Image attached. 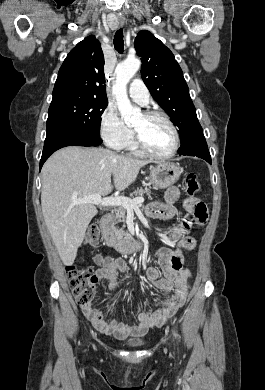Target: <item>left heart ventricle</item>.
<instances>
[{
	"instance_id": "b2bd125f",
	"label": "left heart ventricle",
	"mask_w": 265,
	"mask_h": 390,
	"mask_svg": "<svg viewBox=\"0 0 265 390\" xmlns=\"http://www.w3.org/2000/svg\"><path fill=\"white\" fill-rule=\"evenodd\" d=\"M132 127L141 135L147 147L157 154H165L173 146L172 131L159 118H147L141 114Z\"/></svg>"
}]
</instances>
